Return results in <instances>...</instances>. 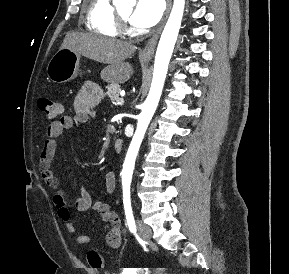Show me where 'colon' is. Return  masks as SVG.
I'll list each match as a JSON object with an SVG mask.
<instances>
[{"label": "colon", "instance_id": "obj_1", "mask_svg": "<svg viewBox=\"0 0 289 274\" xmlns=\"http://www.w3.org/2000/svg\"><path fill=\"white\" fill-rule=\"evenodd\" d=\"M40 109L46 114L49 119H56L62 113V105L60 102L50 99L41 98L39 100ZM88 262L92 268L103 269L105 267V262L101 254L95 250L88 253ZM135 270H129L126 273L134 274Z\"/></svg>", "mask_w": 289, "mask_h": 274}]
</instances>
